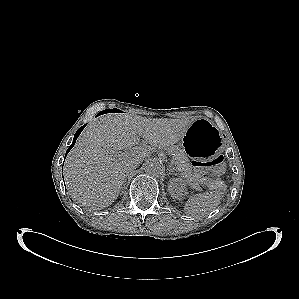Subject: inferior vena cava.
I'll return each mask as SVG.
<instances>
[{
    "label": "inferior vena cava",
    "mask_w": 299,
    "mask_h": 299,
    "mask_svg": "<svg viewBox=\"0 0 299 299\" xmlns=\"http://www.w3.org/2000/svg\"><path fill=\"white\" fill-rule=\"evenodd\" d=\"M138 165H139V162H138V161H133V162H131L130 165H129L128 172L131 171V170L136 169V168L138 167Z\"/></svg>",
    "instance_id": "602c4592"
}]
</instances>
